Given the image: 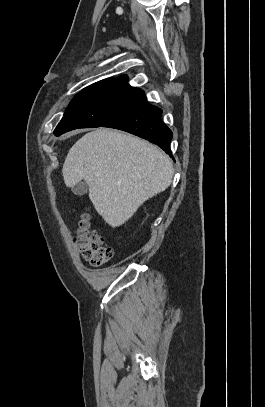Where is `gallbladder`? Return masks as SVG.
<instances>
[{
    "mask_svg": "<svg viewBox=\"0 0 265 407\" xmlns=\"http://www.w3.org/2000/svg\"><path fill=\"white\" fill-rule=\"evenodd\" d=\"M88 191V185L84 181H80L72 187V192L77 196H83Z\"/></svg>",
    "mask_w": 265,
    "mask_h": 407,
    "instance_id": "gallbladder-1",
    "label": "gallbladder"
}]
</instances>
